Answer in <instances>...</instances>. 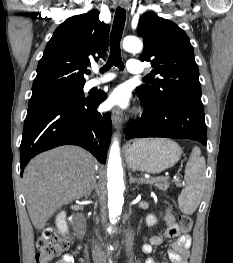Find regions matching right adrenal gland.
Masks as SVG:
<instances>
[{"label":"right adrenal gland","instance_id":"2a0ac1e0","mask_svg":"<svg viewBox=\"0 0 233 263\" xmlns=\"http://www.w3.org/2000/svg\"><path fill=\"white\" fill-rule=\"evenodd\" d=\"M94 187H95V181L93 182V184L91 185L90 189L88 190L86 197L90 196V194L92 193Z\"/></svg>","mask_w":233,"mask_h":263}]
</instances>
